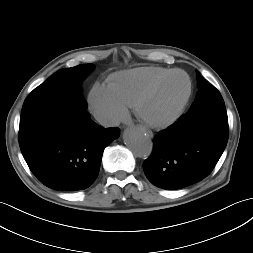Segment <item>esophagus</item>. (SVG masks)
Here are the masks:
<instances>
[{"instance_id":"esophagus-1","label":"esophagus","mask_w":253,"mask_h":253,"mask_svg":"<svg viewBox=\"0 0 253 253\" xmlns=\"http://www.w3.org/2000/svg\"><path fill=\"white\" fill-rule=\"evenodd\" d=\"M143 131H144L149 137H153L152 131H150V130H145V129H143Z\"/></svg>"}]
</instances>
